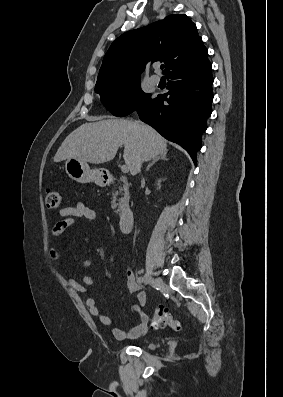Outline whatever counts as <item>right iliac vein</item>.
Returning a JSON list of instances; mask_svg holds the SVG:
<instances>
[{
  "label": "right iliac vein",
  "mask_w": 283,
  "mask_h": 397,
  "mask_svg": "<svg viewBox=\"0 0 283 397\" xmlns=\"http://www.w3.org/2000/svg\"><path fill=\"white\" fill-rule=\"evenodd\" d=\"M151 282H153V278L149 273L145 274V283L146 284H150Z\"/></svg>",
  "instance_id": "right-iliac-vein-1"
}]
</instances>
